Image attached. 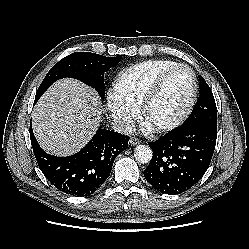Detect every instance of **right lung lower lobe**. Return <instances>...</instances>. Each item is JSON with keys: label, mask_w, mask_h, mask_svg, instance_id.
Instances as JSON below:
<instances>
[{"label": "right lung lower lobe", "mask_w": 249, "mask_h": 249, "mask_svg": "<svg viewBox=\"0 0 249 249\" xmlns=\"http://www.w3.org/2000/svg\"><path fill=\"white\" fill-rule=\"evenodd\" d=\"M30 139L35 158L48 181L66 194L86 196L94 193L105 182L115 158L127 149L129 136L98 129L80 152L68 157L44 152L31 126Z\"/></svg>", "instance_id": "obj_1"}]
</instances>
